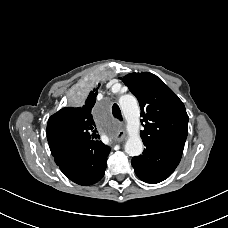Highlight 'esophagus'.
<instances>
[{
	"mask_svg": "<svg viewBox=\"0 0 228 228\" xmlns=\"http://www.w3.org/2000/svg\"><path fill=\"white\" fill-rule=\"evenodd\" d=\"M124 139H125V131L123 129H120L115 136V140L121 142Z\"/></svg>",
	"mask_w": 228,
	"mask_h": 228,
	"instance_id": "esophagus-1",
	"label": "esophagus"
}]
</instances>
